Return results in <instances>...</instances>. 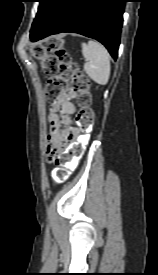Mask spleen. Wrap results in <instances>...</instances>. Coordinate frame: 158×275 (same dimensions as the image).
Instances as JSON below:
<instances>
[{"label": "spleen", "mask_w": 158, "mask_h": 275, "mask_svg": "<svg viewBox=\"0 0 158 275\" xmlns=\"http://www.w3.org/2000/svg\"><path fill=\"white\" fill-rule=\"evenodd\" d=\"M82 54L86 60L84 70L97 84H107L110 77V55L107 49L96 41L82 43Z\"/></svg>", "instance_id": "obj_1"}]
</instances>
